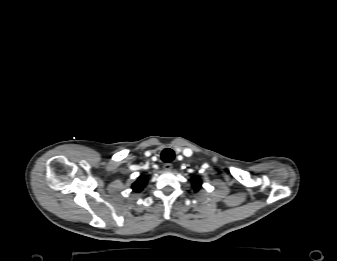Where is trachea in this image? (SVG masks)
Here are the masks:
<instances>
[{
    "label": "trachea",
    "mask_w": 337,
    "mask_h": 261,
    "mask_svg": "<svg viewBox=\"0 0 337 261\" xmlns=\"http://www.w3.org/2000/svg\"><path fill=\"white\" fill-rule=\"evenodd\" d=\"M175 157V153L172 149L166 148L161 153V159L163 162L169 163L171 162Z\"/></svg>",
    "instance_id": "1"
}]
</instances>
